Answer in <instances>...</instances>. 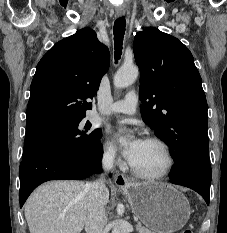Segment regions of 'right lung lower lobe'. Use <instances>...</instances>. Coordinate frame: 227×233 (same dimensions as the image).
Wrapping results in <instances>:
<instances>
[{
    "instance_id": "obj_1",
    "label": "right lung lower lobe",
    "mask_w": 227,
    "mask_h": 233,
    "mask_svg": "<svg viewBox=\"0 0 227 233\" xmlns=\"http://www.w3.org/2000/svg\"><path fill=\"white\" fill-rule=\"evenodd\" d=\"M103 149L100 141L91 149H52L23 158L20 164V207L30 193L49 180H78L101 172Z\"/></svg>"
}]
</instances>
